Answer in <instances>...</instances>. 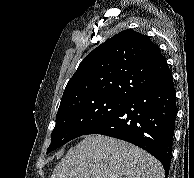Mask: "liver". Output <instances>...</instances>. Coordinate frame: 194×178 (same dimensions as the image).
Returning <instances> with one entry per match:
<instances>
[{"label": "liver", "mask_w": 194, "mask_h": 178, "mask_svg": "<svg viewBox=\"0 0 194 178\" xmlns=\"http://www.w3.org/2000/svg\"><path fill=\"white\" fill-rule=\"evenodd\" d=\"M51 178H164L161 163L131 143L88 135L71 148Z\"/></svg>", "instance_id": "1"}]
</instances>
